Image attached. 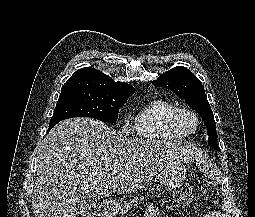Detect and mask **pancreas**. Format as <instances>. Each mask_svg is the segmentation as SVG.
I'll list each match as a JSON object with an SVG mask.
<instances>
[{"label": "pancreas", "mask_w": 255, "mask_h": 217, "mask_svg": "<svg viewBox=\"0 0 255 217\" xmlns=\"http://www.w3.org/2000/svg\"><path fill=\"white\" fill-rule=\"evenodd\" d=\"M144 202V197L143 196H138V197H134L132 199H130L127 202H124V208L120 211L121 216L120 217H124L125 214L133 209V208H137L139 204Z\"/></svg>", "instance_id": "cf45deb5"}]
</instances>
